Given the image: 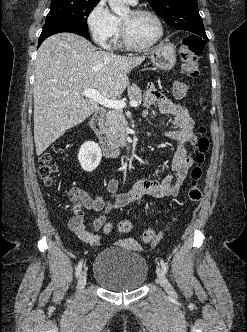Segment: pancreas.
<instances>
[{"mask_svg": "<svg viewBox=\"0 0 247 332\" xmlns=\"http://www.w3.org/2000/svg\"><path fill=\"white\" fill-rule=\"evenodd\" d=\"M128 98L129 100L138 101L142 100V91L140 88L133 84L128 87ZM128 123L123 115L121 109L109 112L107 119L105 121V133L109 141L115 147L125 146L126 136H127Z\"/></svg>", "mask_w": 247, "mask_h": 332, "instance_id": "1", "label": "pancreas"}]
</instances>
